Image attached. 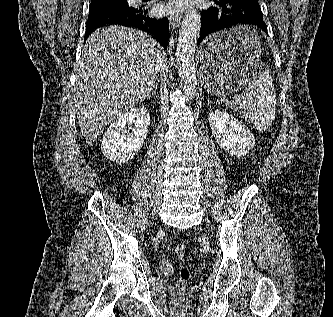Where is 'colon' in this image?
Instances as JSON below:
<instances>
[{"mask_svg": "<svg viewBox=\"0 0 333 317\" xmlns=\"http://www.w3.org/2000/svg\"><path fill=\"white\" fill-rule=\"evenodd\" d=\"M186 253H187V250L183 244H177L175 246V254L179 259L184 260ZM190 278H191L190 268L187 266H183L180 270V278L177 281L178 290L185 291L187 288V283Z\"/></svg>", "mask_w": 333, "mask_h": 317, "instance_id": "colon-1", "label": "colon"}]
</instances>
